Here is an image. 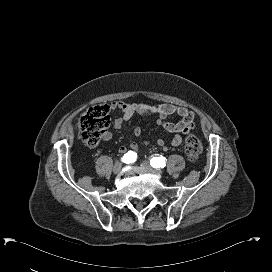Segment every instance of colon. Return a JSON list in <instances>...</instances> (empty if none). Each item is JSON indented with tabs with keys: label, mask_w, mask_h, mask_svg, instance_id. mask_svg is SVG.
<instances>
[{
	"label": "colon",
	"mask_w": 272,
	"mask_h": 272,
	"mask_svg": "<svg viewBox=\"0 0 272 272\" xmlns=\"http://www.w3.org/2000/svg\"><path fill=\"white\" fill-rule=\"evenodd\" d=\"M109 105H95L87 109L76 124V129L82 141L88 146H95L99 143L103 134L110 125ZM184 150L187 159L194 163L201 155V142L190 135L185 140Z\"/></svg>",
	"instance_id": "1"
}]
</instances>
